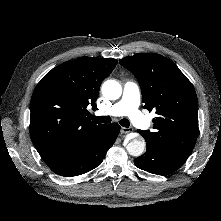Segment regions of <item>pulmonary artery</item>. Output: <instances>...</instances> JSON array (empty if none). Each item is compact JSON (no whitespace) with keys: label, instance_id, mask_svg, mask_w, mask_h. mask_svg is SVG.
I'll return each mask as SVG.
<instances>
[{"label":"pulmonary artery","instance_id":"e3ab8cb5","mask_svg":"<svg viewBox=\"0 0 221 221\" xmlns=\"http://www.w3.org/2000/svg\"><path fill=\"white\" fill-rule=\"evenodd\" d=\"M140 87L135 81L127 80L123 86L121 99L110 108L99 111L98 115L128 116L131 122L142 129L149 127V120L140 112Z\"/></svg>","mask_w":221,"mask_h":221}]
</instances>
